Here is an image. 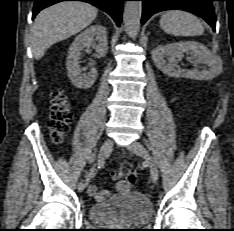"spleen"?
<instances>
[{
  "mask_svg": "<svg viewBox=\"0 0 234 231\" xmlns=\"http://www.w3.org/2000/svg\"><path fill=\"white\" fill-rule=\"evenodd\" d=\"M160 27L174 36H200L204 32L202 23L195 15L180 10H170L163 14Z\"/></svg>",
  "mask_w": 234,
  "mask_h": 231,
  "instance_id": "1",
  "label": "spleen"
}]
</instances>
